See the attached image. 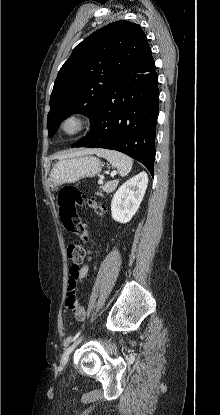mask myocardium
<instances>
[{
	"label": "myocardium",
	"mask_w": 220,
	"mask_h": 415,
	"mask_svg": "<svg viewBox=\"0 0 220 415\" xmlns=\"http://www.w3.org/2000/svg\"><path fill=\"white\" fill-rule=\"evenodd\" d=\"M91 125V119L84 113H70L63 117L58 125L59 133L65 138H73L84 131Z\"/></svg>",
	"instance_id": "obj_1"
}]
</instances>
